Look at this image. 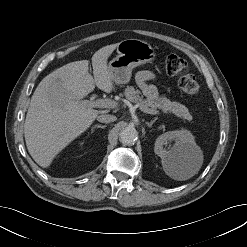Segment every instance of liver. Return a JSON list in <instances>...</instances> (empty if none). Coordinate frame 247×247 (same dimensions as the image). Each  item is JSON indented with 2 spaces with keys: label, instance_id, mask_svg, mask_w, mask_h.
I'll use <instances>...</instances> for the list:
<instances>
[{
  "label": "liver",
  "instance_id": "obj_1",
  "mask_svg": "<svg viewBox=\"0 0 247 247\" xmlns=\"http://www.w3.org/2000/svg\"><path fill=\"white\" fill-rule=\"evenodd\" d=\"M117 44L105 46L92 56L93 77L88 60L68 63L51 72L35 89L24 123L29 154L41 167L50 166L54 157L90 127L99 113L82 98L95 88L110 93L114 84L107 59Z\"/></svg>",
  "mask_w": 247,
  "mask_h": 247
}]
</instances>
